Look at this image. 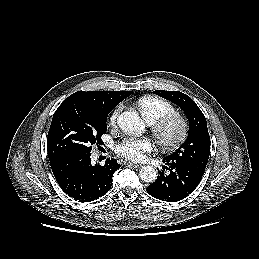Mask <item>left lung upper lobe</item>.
<instances>
[{
    "label": "left lung upper lobe",
    "mask_w": 259,
    "mask_h": 259,
    "mask_svg": "<svg viewBox=\"0 0 259 259\" xmlns=\"http://www.w3.org/2000/svg\"><path fill=\"white\" fill-rule=\"evenodd\" d=\"M153 93L178 105L189 121V133L186 141L164 159L188 163L199 172L204 173L210 155V137L204 114L197 104L184 93L165 90H156Z\"/></svg>",
    "instance_id": "1"
}]
</instances>
